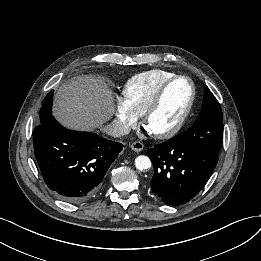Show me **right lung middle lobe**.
I'll return each instance as SVG.
<instances>
[{
	"mask_svg": "<svg viewBox=\"0 0 261 261\" xmlns=\"http://www.w3.org/2000/svg\"><path fill=\"white\" fill-rule=\"evenodd\" d=\"M52 101H53V90L50 93H48L45 99L42 101V107L39 112L40 123L43 120H45L49 115H51Z\"/></svg>",
	"mask_w": 261,
	"mask_h": 261,
	"instance_id": "1",
	"label": "right lung middle lobe"
}]
</instances>
